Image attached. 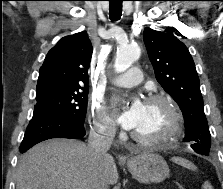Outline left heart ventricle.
I'll list each match as a JSON object with an SVG mask.
<instances>
[{
    "label": "left heart ventricle",
    "mask_w": 223,
    "mask_h": 189,
    "mask_svg": "<svg viewBox=\"0 0 223 189\" xmlns=\"http://www.w3.org/2000/svg\"><path fill=\"white\" fill-rule=\"evenodd\" d=\"M167 108L161 103H144V114L134 128V132L143 135H153L163 130L169 122Z\"/></svg>",
    "instance_id": "b2bd125f"
}]
</instances>
